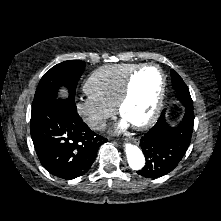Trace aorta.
<instances>
[{
	"label": "aorta",
	"instance_id": "aorta-1",
	"mask_svg": "<svg viewBox=\"0 0 221 221\" xmlns=\"http://www.w3.org/2000/svg\"><path fill=\"white\" fill-rule=\"evenodd\" d=\"M126 157L128 160V164L133 170H140L144 167L145 158L141 150L130 143L125 145Z\"/></svg>",
	"mask_w": 221,
	"mask_h": 221
}]
</instances>
